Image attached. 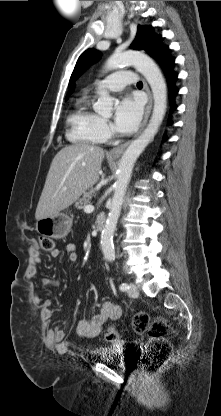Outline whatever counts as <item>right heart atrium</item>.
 Segmentation results:
<instances>
[{"instance_id":"1","label":"right heart atrium","mask_w":221,"mask_h":416,"mask_svg":"<svg viewBox=\"0 0 221 416\" xmlns=\"http://www.w3.org/2000/svg\"><path fill=\"white\" fill-rule=\"evenodd\" d=\"M100 130L105 139L111 136L110 125L103 119L101 120Z\"/></svg>"}]
</instances>
